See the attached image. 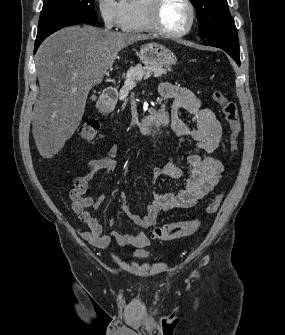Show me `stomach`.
Wrapping results in <instances>:
<instances>
[{"label": "stomach", "mask_w": 285, "mask_h": 335, "mask_svg": "<svg viewBox=\"0 0 285 335\" xmlns=\"http://www.w3.org/2000/svg\"><path fill=\"white\" fill-rule=\"evenodd\" d=\"M139 60L145 66H173L177 58L169 48L160 44H145L140 48Z\"/></svg>", "instance_id": "stomach-1"}]
</instances>
